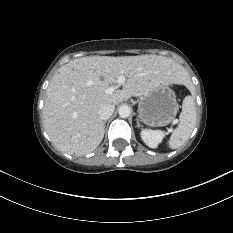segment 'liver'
Instances as JSON below:
<instances>
[{
	"mask_svg": "<svg viewBox=\"0 0 233 233\" xmlns=\"http://www.w3.org/2000/svg\"><path fill=\"white\" fill-rule=\"evenodd\" d=\"M120 75L126 77L123 88L106 94ZM185 77L179 64L158 55L75 59L62 66L49 83L44 127L58 150L78 156L90 153L104 137V122L99 117L102 105H117L161 86L181 84Z\"/></svg>",
	"mask_w": 233,
	"mask_h": 233,
	"instance_id": "6515ba94",
	"label": "liver"
}]
</instances>
